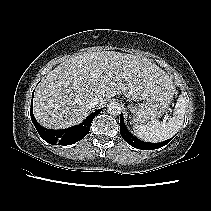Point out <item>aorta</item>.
<instances>
[{"mask_svg":"<svg viewBox=\"0 0 211 211\" xmlns=\"http://www.w3.org/2000/svg\"><path fill=\"white\" fill-rule=\"evenodd\" d=\"M107 112L111 115L117 116L121 113V106L117 102H111L107 106Z\"/></svg>","mask_w":211,"mask_h":211,"instance_id":"762f6f07","label":"aorta"}]
</instances>
